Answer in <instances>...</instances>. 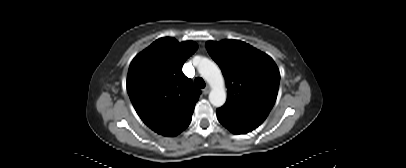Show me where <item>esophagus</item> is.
Masks as SVG:
<instances>
[{
    "label": "esophagus",
    "instance_id": "esophagus-1",
    "mask_svg": "<svg viewBox=\"0 0 406 168\" xmlns=\"http://www.w3.org/2000/svg\"><path fill=\"white\" fill-rule=\"evenodd\" d=\"M210 86H206L204 89H203V94H208L209 92H210Z\"/></svg>",
    "mask_w": 406,
    "mask_h": 168
}]
</instances>
